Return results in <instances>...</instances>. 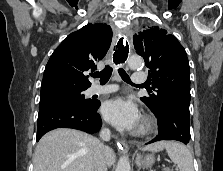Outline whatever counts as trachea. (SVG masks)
Returning <instances> with one entry per match:
<instances>
[{
	"mask_svg": "<svg viewBox=\"0 0 223 171\" xmlns=\"http://www.w3.org/2000/svg\"><path fill=\"white\" fill-rule=\"evenodd\" d=\"M112 71H113L112 67L107 65L101 72L94 73L93 77L100 78V83L101 84H106L108 82L109 78L111 77ZM118 72H119V75L121 76L123 81L131 84L130 77L125 72L124 69L119 68Z\"/></svg>",
	"mask_w": 223,
	"mask_h": 171,
	"instance_id": "obj_1",
	"label": "trachea"
}]
</instances>
